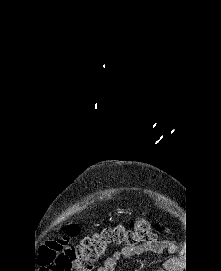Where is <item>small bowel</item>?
I'll list each match as a JSON object with an SVG mask.
<instances>
[{
    "instance_id": "obj_1",
    "label": "small bowel",
    "mask_w": 221,
    "mask_h": 271,
    "mask_svg": "<svg viewBox=\"0 0 221 271\" xmlns=\"http://www.w3.org/2000/svg\"><path fill=\"white\" fill-rule=\"evenodd\" d=\"M172 249L173 243L168 239H154L137 247L124 246L107 257L104 264L97 271H115L121 258H131L145 252L161 253L165 250L172 251ZM175 263V258H171L165 262V267L168 270H172Z\"/></svg>"
}]
</instances>
